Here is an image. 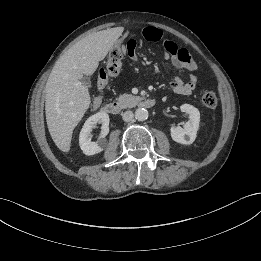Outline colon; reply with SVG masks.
Listing matches in <instances>:
<instances>
[{
  "label": "colon",
  "instance_id": "colon-1",
  "mask_svg": "<svg viewBox=\"0 0 261 261\" xmlns=\"http://www.w3.org/2000/svg\"><path fill=\"white\" fill-rule=\"evenodd\" d=\"M123 51L120 47H114L105 62L104 67L97 71V85L103 90L111 77L118 75L122 68ZM202 103L208 108H215L218 104V97L213 91H206L202 95Z\"/></svg>",
  "mask_w": 261,
  "mask_h": 261
}]
</instances>
